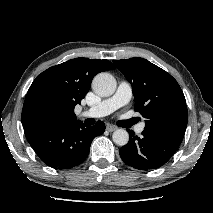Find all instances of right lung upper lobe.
<instances>
[{
  "label": "right lung upper lobe",
  "instance_id": "cb5924a9",
  "mask_svg": "<svg viewBox=\"0 0 213 213\" xmlns=\"http://www.w3.org/2000/svg\"><path fill=\"white\" fill-rule=\"evenodd\" d=\"M111 69L115 66L109 60L88 58H75L48 68L36 77L27 92L22 124L56 127L76 122L74 107L81 104L93 77Z\"/></svg>",
  "mask_w": 213,
  "mask_h": 213
}]
</instances>
